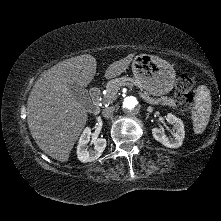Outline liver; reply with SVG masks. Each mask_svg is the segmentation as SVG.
I'll return each instance as SVG.
<instances>
[{"instance_id":"1","label":"liver","mask_w":221,"mask_h":221,"mask_svg":"<svg viewBox=\"0 0 221 221\" xmlns=\"http://www.w3.org/2000/svg\"><path fill=\"white\" fill-rule=\"evenodd\" d=\"M129 54L108 66L105 78L122 74L133 60ZM90 54L64 60L47 70L34 84L27 101V123L39 148L50 157L67 162L83 130L88 110L71 94L69 85L86 87L96 74Z\"/></svg>"}]
</instances>
